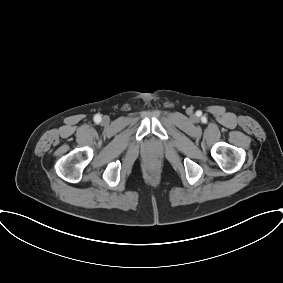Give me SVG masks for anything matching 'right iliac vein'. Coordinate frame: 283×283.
Masks as SVG:
<instances>
[{"instance_id": "obj_1", "label": "right iliac vein", "mask_w": 283, "mask_h": 283, "mask_svg": "<svg viewBox=\"0 0 283 283\" xmlns=\"http://www.w3.org/2000/svg\"><path fill=\"white\" fill-rule=\"evenodd\" d=\"M102 123H103V124L109 123V118H108L107 116H104V117L102 118Z\"/></svg>"}]
</instances>
